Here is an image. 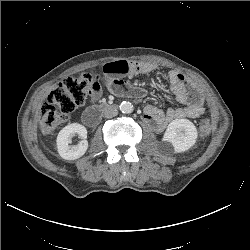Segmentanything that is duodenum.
Instances as JSON below:
<instances>
[{"mask_svg":"<svg viewBox=\"0 0 250 250\" xmlns=\"http://www.w3.org/2000/svg\"><path fill=\"white\" fill-rule=\"evenodd\" d=\"M110 108H112V105L107 103L96 104L94 106L87 108L83 112L82 119L85 124L89 126H94L99 122L103 113Z\"/></svg>","mask_w":250,"mask_h":250,"instance_id":"obj_1","label":"duodenum"}]
</instances>
